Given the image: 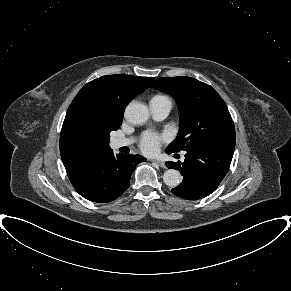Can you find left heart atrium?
I'll return each mask as SVG.
<instances>
[{
  "mask_svg": "<svg viewBox=\"0 0 291 291\" xmlns=\"http://www.w3.org/2000/svg\"><path fill=\"white\" fill-rule=\"evenodd\" d=\"M165 140V135H161L153 131H147L141 137L140 148L146 154H155L158 151L161 143Z\"/></svg>",
  "mask_w": 291,
  "mask_h": 291,
  "instance_id": "left-heart-atrium-1",
  "label": "left heart atrium"
}]
</instances>
